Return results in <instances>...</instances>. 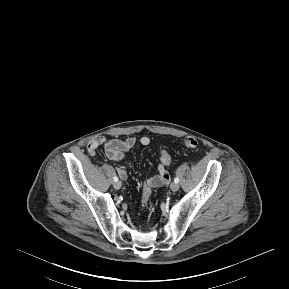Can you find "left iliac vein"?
<instances>
[{
  "instance_id": "4c4485c4",
  "label": "left iliac vein",
  "mask_w": 289,
  "mask_h": 289,
  "mask_svg": "<svg viewBox=\"0 0 289 289\" xmlns=\"http://www.w3.org/2000/svg\"><path fill=\"white\" fill-rule=\"evenodd\" d=\"M170 189H171L172 191H174V192L178 191V189H179V184H178V183H175V182L171 183Z\"/></svg>"
}]
</instances>
